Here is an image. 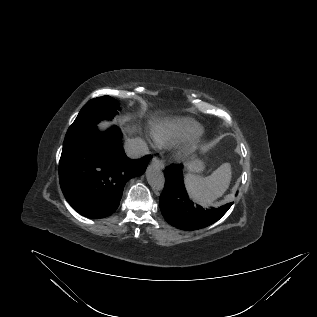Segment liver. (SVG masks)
<instances>
[{"instance_id":"1","label":"liver","mask_w":317,"mask_h":317,"mask_svg":"<svg viewBox=\"0 0 317 317\" xmlns=\"http://www.w3.org/2000/svg\"><path fill=\"white\" fill-rule=\"evenodd\" d=\"M109 125H110V122L105 121V122H101L98 126H99V128L103 129Z\"/></svg>"}]
</instances>
